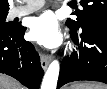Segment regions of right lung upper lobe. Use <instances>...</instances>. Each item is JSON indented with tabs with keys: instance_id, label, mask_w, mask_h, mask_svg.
<instances>
[{
	"instance_id": "cb5924a9",
	"label": "right lung upper lobe",
	"mask_w": 107,
	"mask_h": 89,
	"mask_svg": "<svg viewBox=\"0 0 107 89\" xmlns=\"http://www.w3.org/2000/svg\"><path fill=\"white\" fill-rule=\"evenodd\" d=\"M9 4L7 0H0V13L8 12Z\"/></svg>"
}]
</instances>
